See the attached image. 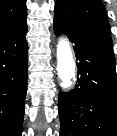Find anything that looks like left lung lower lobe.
<instances>
[{"label": "left lung lower lobe", "mask_w": 117, "mask_h": 136, "mask_svg": "<svg viewBox=\"0 0 117 136\" xmlns=\"http://www.w3.org/2000/svg\"><path fill=\"white\" fill-rule=\"evenodd\" d=\"M54 32L74 43L78 80L59 93L60 136H117V76L110 34L54 17Z\"/></svg>", "instance_id": "0a47b994"}]
</instances>
